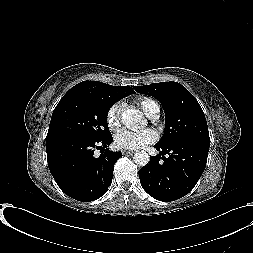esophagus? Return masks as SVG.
Here are the masks:
<instances>
[{
    "label": "esophagus",
    "mask_w": 253,
    "mask_h": 253,
    "mask_svg": "<svg viewBox=\"0 0 253 253\" xmlns=\"http://www.w3.org/2000/svg\"><path fill=\"white\" fill-rule=\"evenodd\" d=\"M122 153H123V155L126 156V155H132V154H134L135 151H132V150H123Z\"/></svg>",
    "instance_id": "obj_1"
}]
</instances>
